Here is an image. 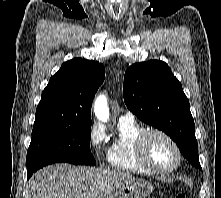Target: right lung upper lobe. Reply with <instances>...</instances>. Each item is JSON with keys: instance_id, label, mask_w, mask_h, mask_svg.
<instances>
[{"instance_id": "obj_1", "label": "right lung upper lobe", "mask_w": 221, "mask_h": 198, "mask_svg": "<svg viewBox=\"0 0 221 198\" xmlns=\"http://www.w3.org/2000/svg\"><path fill=\"white\" fill-rule=\"evenodd\" d=\"M104 78L105 68L97 61L75 58L63 63L42 92L34 126L91 125L92 101Z\"/></svg>"}]
</instances>
